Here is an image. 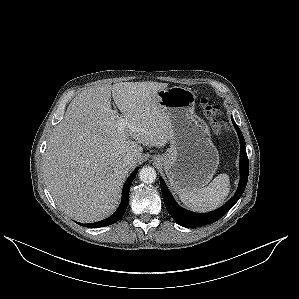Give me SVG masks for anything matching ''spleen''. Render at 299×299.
<instances>
[{
  "mask_svg": "<svg viewBox=\"0 0 299 299\" xmlns=\"http://www.w3.org/2000/svg\"><path fill=\"white\" fill-rule=\"evenodd\" d=\"M230 191V179L225 173L218 175L206 187L179 194L182 203L196 212L212 211L220 207Z\"/></svg>",
  "mask_w": 299,
  "mask_h": 299,
  "instance_id": "spleen-1",
  "label": "spleen"
}]
</instances>
